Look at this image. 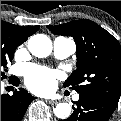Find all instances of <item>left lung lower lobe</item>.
I'll return each mask as SVG.
<instances>
[{
  "mask_svg": "<svg viewBox=\"0 0 121 121\" xmlns=\"http://www.w3.org/2000/svg\"><path fill=\"white\" fill-rule=\"evenodd\" d=\"M80 98L75 103L72 115L59 121H107L116 107L108 104L99 97L79 93Z\"/></svg>",
  "mask_w": 121,
  "mask_h": 121,
  "instance_id": "left-lung-lower-lobe-1",
  "label": "left lung lower lobe"
}]
</instances>
